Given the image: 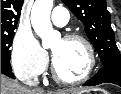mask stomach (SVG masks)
<instances>
[{"label":"stomach","instance_id":"1","mask_svg":"<svg viewBox=\"0 0 121 94\" xmlns=\"http://www.w3.org/2000/svg\"><path fill=\"white\" fill-rule=\"evenodd\" d=\"M79 94H109V93L103 89L94 88L91 90L80 92Z\"/></svg>","mask_w":121,"mask_h":94}]
</instances>
